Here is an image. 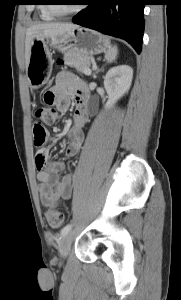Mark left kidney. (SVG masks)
<instances>
[{
    "mask_svg": "<svg viewBox=\"0 0 181 300\" xmlns=\"http://www.w3.org/2000/svg\"><path fill=\"white\" fill-rule=\"evenodd\" d=\"M133 69L128 65L111 68L105 78L104 87L108 94L106 108L109 109L125 94L131 86Z\"/></svg>",
    "mask_w": 181,
    "mask_h": 300,
    "instance_id": "1",
    "label": "left kidney"
}]
</instances>
